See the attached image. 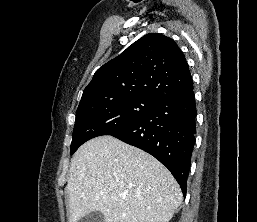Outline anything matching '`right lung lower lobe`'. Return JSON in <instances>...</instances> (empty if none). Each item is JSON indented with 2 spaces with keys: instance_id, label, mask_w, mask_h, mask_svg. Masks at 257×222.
<instances>
[{
  "instance_id": "98d812e1",
  "label": "right lung lower lobe",
  "mask_w": 257,
  "mask_h": 222,
  "mask_svg": "<svg viewBox=\"0 0 257 222\" xmlns=\"http://www.w3.org/2000/svg\"><path fill=\"white\" fill-rule=\"evenodd\" d=\"M193 87L159 101L143 118L114 136L138 147L164 164L186 194L196 134Z\"/></svg>"
}]
</instances>
